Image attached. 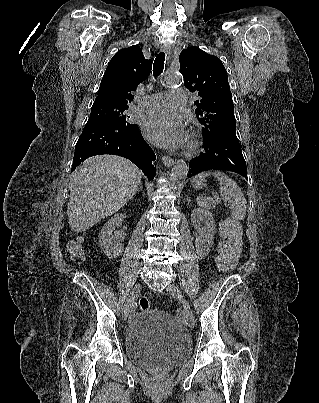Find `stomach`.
I'll return each mask as SVG.
<instances>
[{"mask_svg": "<svg viewBox=\"0 0 319 403\" xmlns=\"http://www.w3.org/2000/svg\"><path fill=\"white\" fill-rule=\"evenodd\" d=\"M192 185L194 186V187H196V188H202V187H204L205 186V180L204 179H202V178H200V179H193L192 180Z\"/></svg>", "mask_w": 319, "mask_h": 403, "instance_id": "stomach-1", "label": "stomach"}]
</instances>
